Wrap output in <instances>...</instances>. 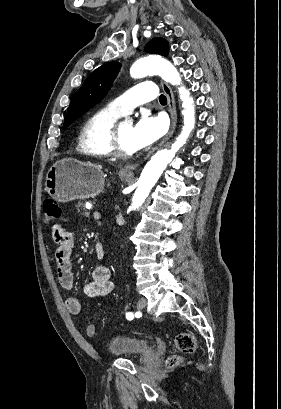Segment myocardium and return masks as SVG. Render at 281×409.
<instances>
[{
  "label": "myocardium",
  "mask_w": 281,
  "mask_h": 409,
  "mask_svg": "<svg viewBox=\"0 0 281 409\" xmlns=\"http://www.w3.org/2000/svg\"><path fill=\"white\" fill-rule=\"evenodd\" d=\"M122 121H115L108 128L105 136V147L110 156L120 159L132 158L138 150L126 151L119 145V130L122 125Z\"/></svg>",
  "instance_id": "1"
}]
</instances>
